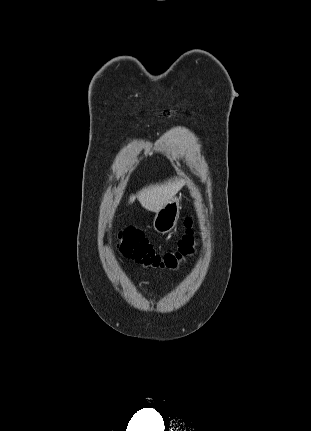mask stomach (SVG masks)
Segmentation results:
<instances>
[{
    "label": "stomach",
    "mask_w": 311,
    "mask_h": 431,
    "mask_svg": "<svg viewBox=\"0 0 311 431\" xmlns=\"http://www.w3.org/2000/svg\"><path fill=\"white\" fill-rule=\"evenodd\" d=\"M181 202L178 196H174L164 208L156 212L153 219V227L158 233H169L177 225L180 216Z\"/></svg>",
    "instance_id": "0dacf381"
}]
</instances>
